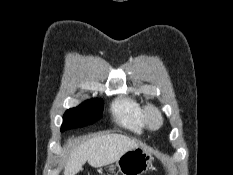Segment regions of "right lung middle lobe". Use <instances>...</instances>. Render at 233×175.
<instances>
[{
  "mask_svg": "<svg viewBox=\"0 0 233 175\" xmlns=\"http://www.w3.org/2000/svg\"><path fill=\"white\" fill-rule=\"evenodd\" d=\"M102 112L101 99H91L76 108L68 109L63 116L61 131L93 124L101 117Z\"/></svg>",
  "mask_w": 233,
  "mask_h": 175,
  "instance_id": "obj_1",
  "label": "right lung middle lobe"
}]
</instances>
